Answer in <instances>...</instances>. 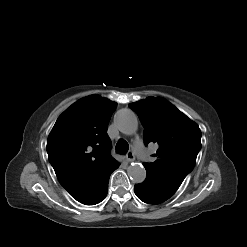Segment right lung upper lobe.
Masks as SVG:
<instances>
[{
    "instance_id": "right-lung-upper-lobe-1",
    "label": "right lung upper lobe",
    "mask_w": 247,
    "mask_h": 247,
    "mask_svg": "<svg viewBox=\"0 0 247 247\" xmlns=\"http://www.w3.org/2000/svg\"><path fill=\"white\" fill-rule=\"evenodd\" d=\"M116 103L98 95L80 99L57 119L47 141L49 161L75 197L118 162L110 155L107 126Z\"/></svg>"
}]
</instances>
